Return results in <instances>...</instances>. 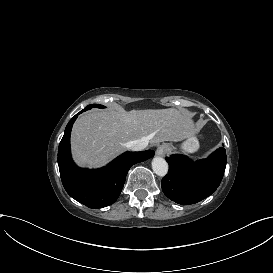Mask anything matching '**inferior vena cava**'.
Segmentation results:
<instances>
[{
	"instance_id": "602c4592",
	"label": "inferior vena cava",
	"mask_w": 273,
	"mask_h": 273,
	"mask_svg": "<svg viewBox=\"0 0 273 273\" xmlns=\"http://www.w3.org/2000/svg\"><path fill=\"white\" fill-rule=\"evenodd\" d=\"M124 145L127 149L131 151H141L144 148H146V146L148 145V142L144 139H140V140L128 141Z\"/></svg>"
}]
</instances>
